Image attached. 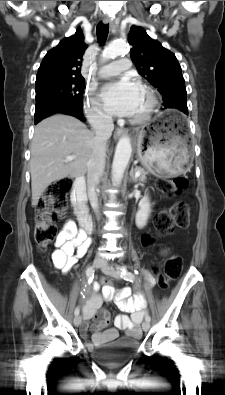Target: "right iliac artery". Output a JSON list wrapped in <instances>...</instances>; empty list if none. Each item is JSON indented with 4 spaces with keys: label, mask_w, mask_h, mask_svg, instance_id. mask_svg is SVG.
Here are the masks:
<instances>
[{
    "label": "right iliac artery",
    "mask_w": 225,
    "mask_h": 395,
    "mask_svg": "<svg viewBox=\"0 0 225 395\" xmlns=\"http://www.w3.org/2000/svg\"><path fill=\"white\" fill-rule=\"evenodd\" d=\"M86 276L88 278V284H90L92 282L93 278H94V269H93V267H88L87 268ZM79 312H80L79 307H76V309L74 311L75 316L79 315Z\"/></svg>",
    "instance_id": "right-iliac-artery-1"
}]
</instances>
